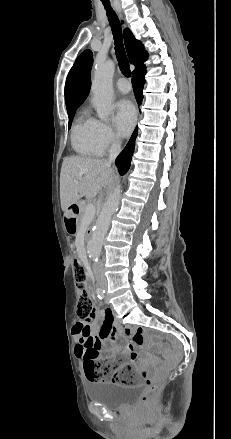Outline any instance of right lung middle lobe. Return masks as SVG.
<instances>
[{
  "label": "right lung middle lobe",
  "mask_w": 231,
  "mask_h": 439,
  "mask_svg": "<svg viewBox=\"0 0 231 439\" xmlns=\"http://www.w3.org/2000/svg\"><path fill=\"white\" fill-rule=\"evenodd\" d=\"M76 109L77 108H73V109L67 110L68 111V116H69V128L71 126V123H72V120H73V117H74Z\"/></svg>",
  "instance_id": "obj_1"
}]
</instances>
